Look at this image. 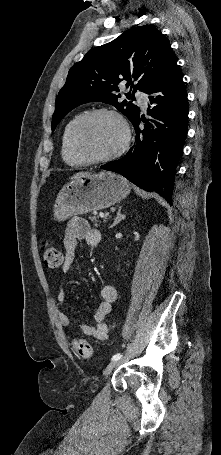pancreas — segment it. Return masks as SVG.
Returning a JSON list of instances; mask_svg holds the SVG:
<instances>
[{"label":"pancreas","instance_id":"1","mask_svg":"<svg viewBox=\"0 0 221 455\" xmlns=\"http://www.w3.org/2000/svg\"><path fill=\"white\" fill-rule=\"evenodd\" d=\"M90 220H91V222H93L95 224H98L99 222H101L98 216H92V217H90Z\"/></svg>","mask_w":221,"mask_h":455}]
</instances>
